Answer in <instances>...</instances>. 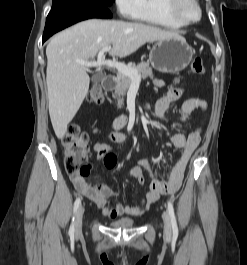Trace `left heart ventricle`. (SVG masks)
<instances>
[{
    "label": "left heart ventricle",
    "mask_w": 247,
    "mask_h": 265,
    "mask_svg": "<svg viewBox=\"0 0 247 265\" xmlns=\"http://www.w3.org/2000/svg\"><path fill=\"white\" fill-rule=\"evenodd\" d=\"M184 15L189 18V19H194L197 17L198 12L197 9L194 7V5H192L191 3H187L184 6Z\"/></svg>",
    "instance_id": "left-heart-ventricle-1"
}]
</instances>
